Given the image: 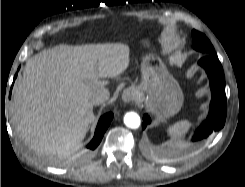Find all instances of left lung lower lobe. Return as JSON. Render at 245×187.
<instances>
[{"instance_id": "1", "label": "left lung lower lobe", "mask_w": 245, "mask_h": 187, "mask_svg": "<svg viewBox=\"0 0 245 187\" xmlns=\"http://www.w3.org/2000/svg\"><path fill=\"white\" fill-rule=\"evenodd\" d=\"M198 64L202 66L210 80L212 100L210 111L206 121L197 129L193 141L207 138L211 133L223 128L226 120V94L225 77L222 65L215 53L207 54L199 60ZM151 122L150 117L143 116L142 128L145 129Z\"/></svg>"}]
</instances>
